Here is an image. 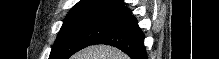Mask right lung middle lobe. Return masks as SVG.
<instances>
[{"instance_id": "dd1d6c3e", "label": "right lung middle lobe", "mask_w": 219, "mask_h": 59, "mask_svg": "<svg viewBox=\"0 0 219 59\" xmlns=\"http://www.w3.org/2000/svg\"><path fill=\"white\" fill-rule=\"evenodd\" d=\"M127 20L113 11L82 12L66 16L49 59H68L93 45L101 36Z\"/></svg>"}]
</instances>
